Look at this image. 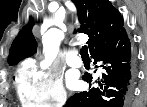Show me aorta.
<instances>
[{
  "label": "aorta",
  "instance_id": "762f6f07",
  "mask_svg": "<svg viewBox=\"0 0 147 107\" xmlns=\"http://www.w3.org/2000/svg\"><path fill=\"white\" fill-rule=\"evenodd\" d=\"M62 38V32L57 29H50L43 36V50L45 59L41 62V68H48L53 60L56 58Z\"/></svg>",
  "mask_w": 147,
  "mask_h": 107
}]
</instances>
